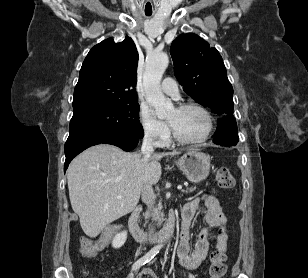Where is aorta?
Returning a JSON list of instances; mask_svg holds the SVG:
<instances>
[{
	"label": "aorta",
	"instance_id": "1",
	"mask_svg": "<svg viewBox=\"0 0 308 278\" xmlns=\"http://www.w3.org/2000/svg\"><path fill=\"white\" fill-rule=\"evenodd\" d=\"M168 63L169 58L165 53L149 55L143 76L146 100L154 107L159 118L165 117L173 109L171 100L167 99L160 89V82Z\"/></svg>",
	"mask_w": 308,
	"mask_h": 278
}]
</instances>
